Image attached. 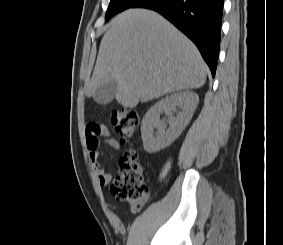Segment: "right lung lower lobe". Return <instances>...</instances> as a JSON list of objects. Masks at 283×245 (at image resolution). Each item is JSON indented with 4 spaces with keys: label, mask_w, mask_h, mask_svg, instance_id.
Segmentation results:
<instances>
[{
    "label": "right lung lower lobe",
    "mask_w": 283,
    "mask_h": 245,
    "mask_svg": "<svg viewBox=\"0 0 283 245\" xmlns=\"http://www.w3.org/2000/svg\"><path fill=\"white\" fill-rule=\"evenodd\" d=\"M224 0H140L132 8L155 10L198 47L215 76Z\"/></svg>",
    "instance_id": "1"
}]
</instances>
